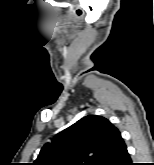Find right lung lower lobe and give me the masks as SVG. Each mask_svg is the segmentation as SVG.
<instances>
[{
	"label": "right lung lower lobe",
	"mask_w": 154,
	"mask_h": 165,
	"mask_svg": "<svg viewBox=\"0 0 154 165\" xmlns=\"http://www.w3.org/2000/svg\"><path fill=\"white\" fill-rule=\"evenodd\" d=\"M113 149L114 152L104 165H132L131 158L122 137L116 142Z\"/></svg>",
	"instance_id": "obj_1"
}]
</instances>
